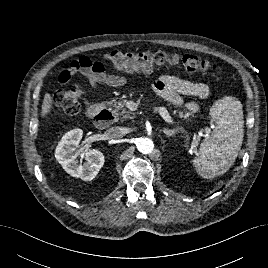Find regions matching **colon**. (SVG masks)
<instances>
[{"instance_id": "colon-1", "label": "colon", "mask_w": 268, "mask_h": 268, "mask_svg": "<svg viewBox=\"0 0 268 268\" xmlns=\"http://www.w3.org/2000/svg\"><path fill=\"white\" fill-rule=\"evenodd\" d=\"M110 68L114 70H149L153 67H176L180 66L189 75L205 74L213 71L216 66L207 60L193 55L179 56L165 52H125L112 51L106 55ZM87 62H82L81 67ZM83 90L80 87H71L58 90L54 99L66 113L75 114L80 110Z\"/></svg>"}]
</instances>
